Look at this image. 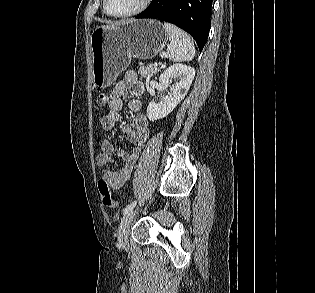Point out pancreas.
Listing matches in <instances>:
<instances>
[{
	"instance_id": "pancreas-1",
	"label": "pancreas",
	"mask_w": 315,
	"mask_h": 293,
	"mask_svg": "<svg viewBox=\"0 0 315 293\" xmlns=\"http://www.w3.org/2000/svg\"><path fill=\"white\" fill-rule=\"evenodd\" d=\"M160 70L161 69L159 67L154 66L152 64H149L147 66L141 65L138 73L143 77H151L152 75H155Z\"/></svg>"
}]
</instances>
